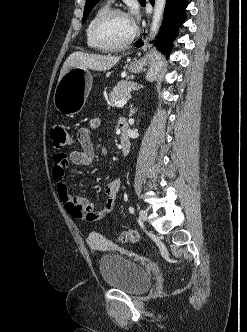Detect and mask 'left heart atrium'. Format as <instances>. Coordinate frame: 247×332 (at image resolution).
<instances>
[{
	"instance_id": "39dd6f15",
	"label": "left heart atrium",
	"mask_w": 247,
	"mask_h": 332,
	"mask_svg": "<svg viewBox=\"0 0 247 332\" xmlns=\"http://www.w3.org/2000/svg\"><path fill=\"white\" fill-rule=\"evenodd\" d=\"M128 18L131 21V23L135 26L139 18L138 10L136 8L132 9Z\"/></svg>"
}]
</instances>
